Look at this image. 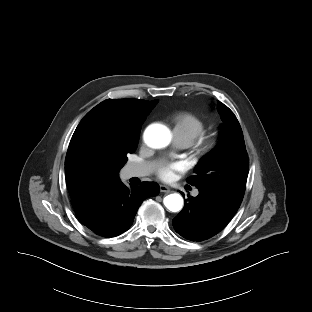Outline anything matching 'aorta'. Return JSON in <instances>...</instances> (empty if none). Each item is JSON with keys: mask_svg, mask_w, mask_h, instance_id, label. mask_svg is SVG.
<instances>
[{"mask_svg": "<svg viewBox=\"0 0 312 312\" xmlns=\"http://www.w3.org/2000/svg\"><path fill=\"white\" fill-rule=\"evenodd\" d=\"M144 140L152 148H164L171 141V133L167 127L153 124L145 130ZM164 205L169 211L178 212L183 208V198L178 193L167 195L164 198Z\"/></svg>", "mask_w": 312, "mask_h": 312, "instance_id": "762f6f07", "label": "aorta"}]
</instances>
